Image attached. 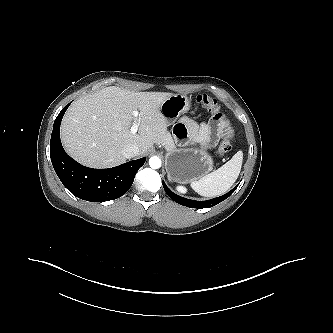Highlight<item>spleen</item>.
<instances>
[{"label": "spleen", "instance_id": "obj_1", "mask_svg": "<svg viewBox=\"0 0 333 333\" xmlns=\"http://www.w3.org/2000/svg\"><path fill=\"white\" fill-rule=\"evenodd\" d=\"M243 162L241 150L223 166L199 180H193L191 188L201 196L215 197L227 192L237 180Z\"/></svg>", "mask_w": 333, "mask_h": 333}]
</instances>
